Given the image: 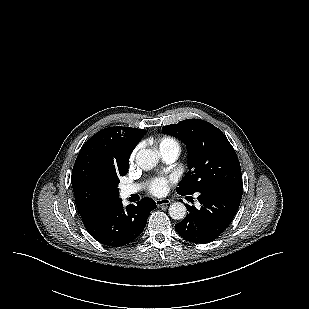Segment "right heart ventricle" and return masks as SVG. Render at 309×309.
<instances>
[{"mask_svg":"<svg viewBox=\"0 0 309 309\" xmlns=\"http://www.w3.org/2000/svg\"><path fill=\"white\" fill-rule=\"evenodd\" d=\"M158 147H159V150L165 149V148H177L180 150L179 142L175 138L168 137V136L162 137L158 141Z\"/></svg>","mask_w":309,"mask_h":309,"instance_id":"1","label":"right heart ventricle"}]
</instances>
